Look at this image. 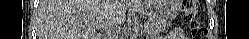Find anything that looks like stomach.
I'll use <instances>...</instances> for the list:
<instances>
[{"instance_id": "1", "label": "stomach", "mask_w": 249, "mask_h": 39, "mask_svg": "<svg viewBox=\"0 0 249 39\" xmlns=\"http://www.w3.org/2000/svg\"><path fill=\"white\" fill-rule=\"evenodd\" d=\"M138 10L153 18L170 21L180 12V0H144Z\"/></svg>"}]
</instances>
